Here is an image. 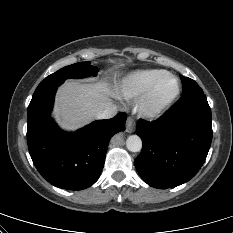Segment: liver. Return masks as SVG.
Listing matches in <instances>:
<instances>
[{
    "mask_svg": "<svg viewBox=\"0 0 233 233\" xmlns=\"http://www.w3.org/2000/svg\"><path fill=\"white\" fill-rule=\"evenodd\" d=\"M111 94L106 82L69 80L57 92L55 118L62 128L75 130L94 120L98 112L112 104Z\"/></svg>",
    "mask_w": 233,
    "mask_h": 233,
    "instance_id": "liver-1",
    "label": "liver"
}]
</instances>
